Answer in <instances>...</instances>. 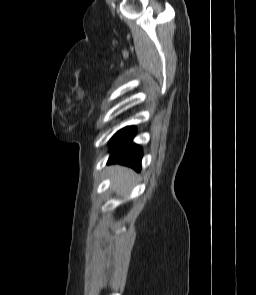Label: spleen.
Masks as SVG:
<instances>
[{"instance_id":"obj_1","label":"spleen","mask_w":256,"mask_h":295,"mask_svg":"<svg viewBox=\"0 0 256 295\" xmlns=\"http://www.w3.org/2000/svg\"><path fill=\"white\" fill-rule=\"evenodd\" d=\"M113 177L115 180L114 187L118 186L123 190H127L135 180V174L132 171L123 169L121 167H115Z\"/></svg>"}]
</instances>
